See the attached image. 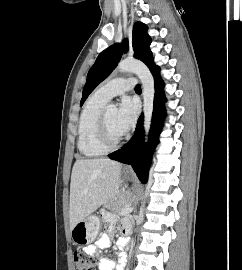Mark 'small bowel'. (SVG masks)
Masks as SVG:
<instances>
[{"label":"small bowel","instance_id":"obj_1","mask_svg":"<svg viewBox=\"0 0 242 270\" xmlns=\"http://www.w3.org/2000/svg\"><path fill=\"white\" fill-rule=\"evenodd\" d=\"M106 222L108 224L107 231L100 236L95 245L88 246L85 252L91 256H98L102 249L107 248L111 244V234L114 229L116 218L114 216L108 215L106 217ZM121 232L126 235L130 232V221L123 219L121 221ZM127 245L126 239H120L118 241V246L124 248ZM119 262L116 263L113 259L107 257L99 258V270H124V260L125 256L122 253L116 254Z\"/></svg>","mask_w":242,"mask_h":270}]
</instances>
